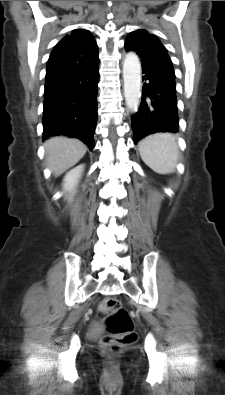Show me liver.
Masks as SVG:
<instances>
[{
  "label": "liver",
  "instance_id": "obj_1",
  "mask_svg": "<svg viewBox=\"0 0 225 395\" xmlns=\"http://www.w3.org/2000/svg\"><path fill=\"white\" fill-rule=\"evenodd\" d=\"M44 147L47 167L54 176H60L77 164L87 151L80 140L63 136L50 138Z\"/></svg>",
  "mask_w": 225,
  "mask_h": 395
}]
</instances>
